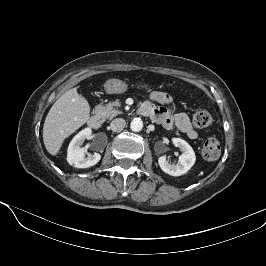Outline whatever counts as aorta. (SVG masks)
I'll list each match as a JSON object with an SVG mask.
<instances>
[{"mask_svg": "<svg viewBox=\"0 0 266 266\" xmlns=\"http://www.w3.org/2000/svg\"><path fill=\"white\" fill-rule=\"evenodd\" d=\"M130 128L132 131L134 132H139L142 130L143 128V122L141 119L139 118H134L132 121H131V124H130Z\"/></svg>", "mask_w": 266, "mask_h": 266, "instance_id": "1", "label": "aorta"}]
</instances>
